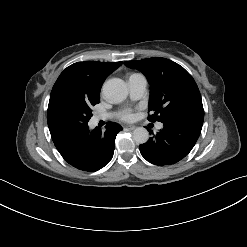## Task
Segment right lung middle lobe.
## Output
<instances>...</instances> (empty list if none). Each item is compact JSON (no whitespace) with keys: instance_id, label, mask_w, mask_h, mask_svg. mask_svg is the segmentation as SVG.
<instances>
[{"instance_id":"1","label":"right lung middle lobe","mask_w":247,"mask_h":247,"mask_svg":"<svg viewBox=\"0 0 247 247\" xmlns=\"http://www.w3.org/2000/svg\"><path fill=\"white\" fill-rule=\"evenodd\" d=\"M99 98H87L76 94H61L48 106L47 122L52 138L86 128L92 117L91 107Z\"/></svg>"}]
</instances>
